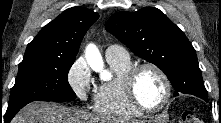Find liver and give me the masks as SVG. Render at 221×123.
Returning <instances> with one entry per match:
<instances>
[{"label": "liver", "instance_id": "1", "mask_svg": "<svg viewBox=\"0 0 221 123\" xmlns=\"http://www.w3.org/2000/svg\"><path fill=\"white\" fill-rule=\"evenodd\" d=\"M12 123H104V119L52 102H33L25 106ZM140 123V122H136Z\"/></svg>", "mask_w": 221, "mask_h": 123}]
</instances>
